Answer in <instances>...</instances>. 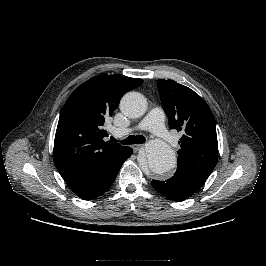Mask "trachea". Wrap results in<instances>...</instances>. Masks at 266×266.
I'll list each match as a JSON object with an SVG mask.
<instances>
[{
    "instance_id": "trachea-1",
    "label": "trachea",
    "mask_w": 266,
    "mask_h": 266,
    "mask_svg": "<svg viewBox=\"0 0 266 266\" xmlns=\"http://www.w3.org/2000/svg\"><path fill=\"white\" fill-rule=\"evenodd\" d=\"M110 139L112 142L116 141L113 137H111ZM144 142H145V137L142 135H130L126 139L121 140V143L124 145L142 144Z\"/></svg>"
}]
</instances>
